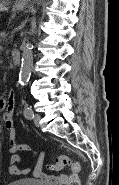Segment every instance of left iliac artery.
<instances>
[{"instance_id": "1", "label": "left iliac artery", "mask_w": 119, "mask_h": 185, "mask_svg": "<svg viewBox=\"0 0 119 185\" xmlns=\"http://www.w3.org/2000/svg\"><path fill=\"white\" fill-rule=\"evenodd\" d=\"M24 116L26 119L31 120L34 117V112L31 107H26L24 110Z\"/></svg>"}]
</instances>
